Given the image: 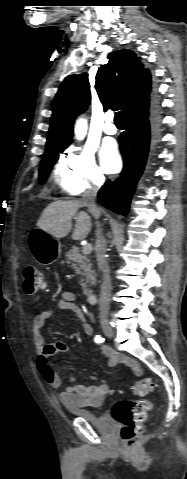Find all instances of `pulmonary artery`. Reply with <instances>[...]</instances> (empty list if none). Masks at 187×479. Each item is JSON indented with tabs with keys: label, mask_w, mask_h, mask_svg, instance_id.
I'll use <instances>...</instances> for the list:
<instances>
[{
	"label": "pulmonary artery",
	"mask_w": 187,
	"mask_h": 479,
	"mask_svg": "<svg viewBox=\"0 0 187 479\" xmlns=\"http://www.w3.org/2000/svg\"><path fill=\"white\" fill-rule=\"evenodd\" d=\"M105 119H106V123L103 127V131L107 135H115L117 133V128L113 123V115L109 114V115L106 116Z\"/></svg>",
	"instance_id": "pulmonary-artery-1"
}]
</instances>
